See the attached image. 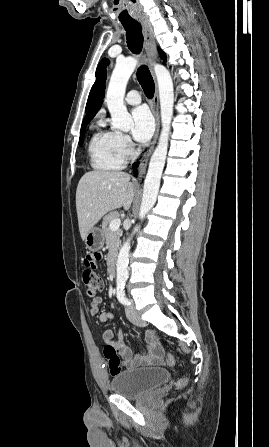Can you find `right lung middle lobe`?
Here are the masks:
<instances>
[{
    "label": "right lung middle lobe",
    "instance_id": "1",
    "mask_svg": "<svg viewBox=\"0 0 269 447\" xmlns=\"http://www.w3.org/2000/svg\"><path fill=\"white\" fill-rule=\"evenodd\" d=\"M88 124H85L81 127V132H80V139H79V145L81 146L83 144L84 141V132H85V128Z\"/></svg>",
    "mask_w": 269,
    "mask_h": 447
}]
</instances>
